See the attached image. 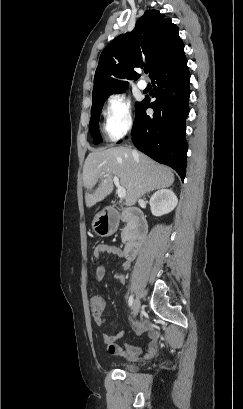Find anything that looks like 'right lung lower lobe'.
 Masks as SVG:
<instances>
[{
  "label": "right lung lower lobe",
  "mask_w": 243,
  "mask_h": 409,
  "mask_svg": "<svg viewBox=\"0 0 243 409\" xmlns=\"http://www.w3.org/2000/svg\"><path fill=\"white\" fill-rule=\"evenodd\" d=\"M189 79L184 45L153 74L156 100L144 99L136 110L132 140L138 150L172 167L183 180L186 174L185 120L189 113ZM154 110L148 116L146 109Z\"/></svg>",
  "instance_id": "right-lung-lower-lobe-1"
}]
</instances>
